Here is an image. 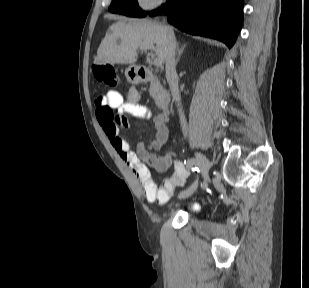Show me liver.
I'll return each mask as SVG.
<instances>
[{"instance_id": "6515ba94", "label": "liver", "mask_w": 309, "mask_h": 288, "mask_svg": "<svg viewBox=\"0 0 309 288\" xmlns=\"http://www.w3.org/2000/svg\"><path fill=\"white\" fill-rule=\"evenodd\" d=\"M165 26L150 20L121 19L110 26L95 58L96 64H134L138 48L155 47V55L166 59L167 34Z\"/></svg>"}]
</instances>
